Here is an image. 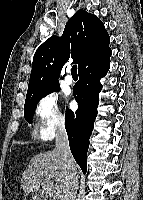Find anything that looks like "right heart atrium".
Instances as JSON below:
<instances>
[{
  "label": "right heart atrium",
  "mask_w": 143,
  "mask_h": 200,
  "mask_svg": "<svg viewBox=\"0 0 143 200\" xmlns=\"http://www.w3.org/2000/svg\"><path fill=\"white\" fill-rule=\"evenodd\" d=\"M37 119L36 134L40 139L52 138L65 126V118L59 106L56 93L48 92L40 97L35 107Z\"/></svg>",
  "instance_id": "right-heart-atrium-1"
}]
</instances>
